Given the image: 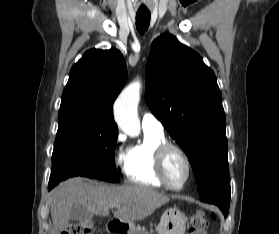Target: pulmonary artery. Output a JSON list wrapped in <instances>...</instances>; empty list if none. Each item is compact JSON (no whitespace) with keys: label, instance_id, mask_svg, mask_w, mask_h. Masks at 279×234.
I'll list each match as a JSON object with an SVG mask.
<instances>
[{"label":"pulmonary artery","instance_id":"e3ab8cb5","mask_svg":"<svg viewBox=\"0 0 279 234\" xmlns=\"http://www.w3.org/2000/svg\"><path fill=\"white\" fill-rule=\"evenodd\" d=\"M141 126L144 131L154 132L161 134L163 133V125L151 112H145L142 115Z\"/></svg>","mask_w":279,"mask_h":234}]
</instances>
